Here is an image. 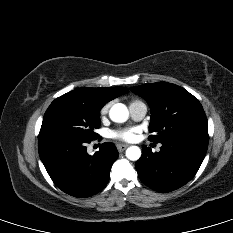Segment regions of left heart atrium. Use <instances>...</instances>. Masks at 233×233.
I'll return each mask as SVG.
<instances>
[{"label":"left heart atrium","instance_id":"1","mask_svg":"<svg viewBox=\"0 0 233 233\" xmlns=\"http://www.w3.org/2000/svg\"><path fill=\"white\" fill-rule=\"evenodd\" d=\"M138 130L136 128H128V129H122L118 131L111 132V136L113 138L126 141V142H132L137 138Z\"/></svg>","mask_w":233,"mask_h":233}]
</instances>
